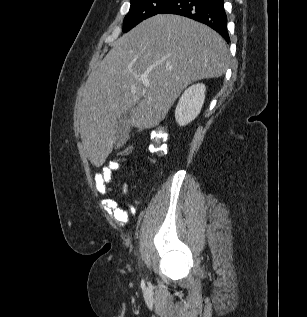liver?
<instances>
[{"mask_svg":"<svg viewBox=\"0 0 307 317\" xmlns=\"http://www.w3.org/2000/svg\"><path fill=\"white\" fill-rule=\"evenodd\" d=\"M229 62L225 40L186 17L156 15L124 34L90 73L76 100L91 163L99 167L111 153L122 114L129 111L130 125L139 130L153 128L188 85L221 77Z\"/></svg>","mask_w":307,"mask_h":317,"instance_id":"6515ba94","label":"liver"}]
</instances>
